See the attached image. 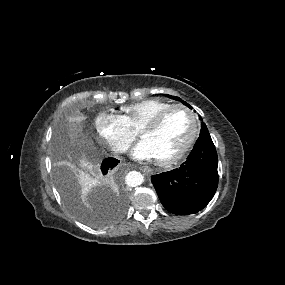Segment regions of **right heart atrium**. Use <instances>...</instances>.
<instances>
[{"label": "right heart atrium", "mask_w": 285, "mask_h": 285, "mask_svg": "<svg viewBox=\"0 0 285 285\" xmlns=\"http://www.w3.org/2000/svg\"><path fill=\"white\" fill-rule=\"evenodd\" d=\"M94 126L98 136L118 152L125 151L135 138L119 115L101 113L96 117Z\"/></svg>", "instance_id": "1"}]
</instances>
